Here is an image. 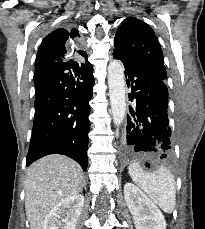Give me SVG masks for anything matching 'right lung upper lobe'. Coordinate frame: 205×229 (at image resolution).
<instances>
[{
  "mask_svg": "<svg viewBox=\"0 0 205 229\" xmlns=\"http://www.w3.org/2000/svg\"><path fill=\"white\" fill-rule=\"evenodd\" d=\"M79 37V32L75 28L71 30L60 28L48 34L42 41L36 55L35 70L57 62L65 63L74 70H81L91 65L87 60V53L78 49L77 42ZM74 55L85 58V64H81L80 67L73 60Z\"/></svg>",
  "mask_w": 205,
  "mask_h": 229,
  "instance_id": "right-lung-upper-lobe-1",
  "label": "right lung upper lobe"
}]
</instances>
